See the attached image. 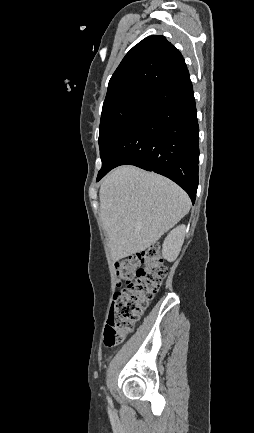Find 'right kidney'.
Instances as JSON below:
<instances>
[{"label": "right kidney", "instance_id": "ca27d5eb", "mask_svg": "<svg viewBox=\"0 0 254 433\" xmlns=\"http://www.w3.org/2000/svg\"><path fill=\"white\" fill-rule=\"evenodd\" d=\"M185 231L186 226L180 225L173 229L165 238L162 246V255L168 261L172 262L177 258L184 242Z\"/></svg>", "mask_w": 254, "mask_h": 433}]
</instances>
